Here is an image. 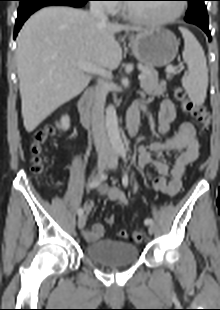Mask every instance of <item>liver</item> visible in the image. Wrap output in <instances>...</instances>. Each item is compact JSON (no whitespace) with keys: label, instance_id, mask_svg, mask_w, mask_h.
Instances as JSON below:
<instances>
[{"label":"liver","instance_id":"1","mask_svg":"<svg viewBox=\"0 0 220 310\" xmlns=\"http://www.w3.org/2000/svg\"><path fill=\"white\" fill-rule=\"evenodd\" d=\"M141 28L102 23L71 7H47L32 15L17 37L15 54L27 132H32L58 107L79 95L90 75L80 63L116 69L122 49L115 33Z\"/></svg>","mask_w":220,"mask_h":310}]
</instances>
